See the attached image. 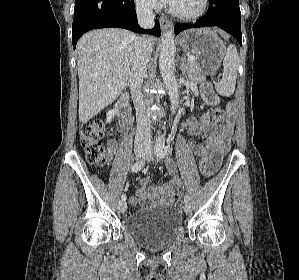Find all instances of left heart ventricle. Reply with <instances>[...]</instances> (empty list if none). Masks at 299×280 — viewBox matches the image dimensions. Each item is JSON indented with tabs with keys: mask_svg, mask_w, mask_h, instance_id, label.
<instances>
[{
	"mask_svg": "<svg viewBox=\"0 0 299 280\" xmlns=\"http://www.w3.org/2000/svg\"><path fill=\"white\" fill-rule=\"evenodd\" d=\"M202 4V0H174L171 5L179 12L192 14L197 12Z\"/></svg>",
	"mask_w": 299,
	"mask_h": 280,
	"instance_id": "1",
	"label": "left heart ventricle"
}]
</instances>
